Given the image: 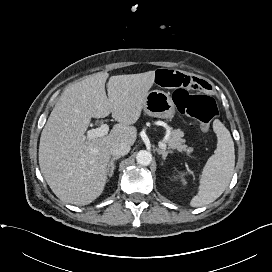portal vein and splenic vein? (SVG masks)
I'll return each mask as SVG.
<instances>
[{
    "label": "portal vein and splenic vein",
    "mask_w": 272,
    "mask_h": 272,
    "mask_svg": "<svg viewBox=\"0 0 272 272\" xmlns=\"http://www.w3.org/2000/svg\"><path fill=\"white\" fill-rule=\"evenodd\" d=\"M109 132V126L107 124H102L100 127L88 130L86 135L88 139H94L107 135ZM158 145L162 149H166V144L162 141L158 142Z\"/></svg>",
    "instance_id": "portal-vein-and-splenic-vein-1"
}]
</instances>
